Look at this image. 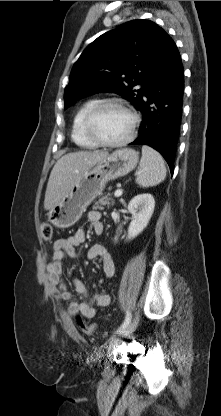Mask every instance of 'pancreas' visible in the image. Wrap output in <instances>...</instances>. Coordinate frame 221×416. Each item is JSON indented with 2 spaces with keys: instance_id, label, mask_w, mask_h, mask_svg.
Returning a JSON list of instances; mask_svg holds the SVG:
<instances>
[{
  "instance_id": "1",
  "label": "pancreas",
  "mask_w": 221,
  "mask_h": 416,
  "mask_svg": "<svg viewBox=\"0 0 221 416\" xmlns=\"http://www.w3.org/2000/svg\"><path fill=\"white\" fill-rule=\"evenodd\" d=\"M109 196L110 194H107L101 197L98 201H96L95 204L93 205V209L103 210L104 206H107L109 208L111 205H113L114 201Z\"/></svg>"
}]
</instances>
